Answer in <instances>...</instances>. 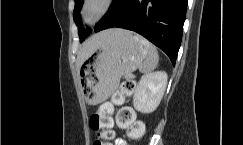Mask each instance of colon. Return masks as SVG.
<instances>
[{
  "label": "colon",
  "mask_w": 243,
  "mask_h": 145,
  "mask_svg": "<svg viewBox=\"0 0 243 145\" xmlns=\"http://www.w3.org/2000/svg\"><path fill=\"white\" fill-rule=\"evenodd\" d=\"M134 89L135 82L133 80H124L114 95L113 102L103 103L98 111L90 117V127L98 135L93 145H112L111 140L114 137L112 131L114 104H121L124 96L132 94ZM116 124L119 128L126 129L129 137L133 140H139L144 135V124L136 120L135 113L130 107L119 109L116 114Z\"/></svg>",
  "instance_id": "colon-1"
}]
</instances>
